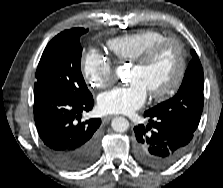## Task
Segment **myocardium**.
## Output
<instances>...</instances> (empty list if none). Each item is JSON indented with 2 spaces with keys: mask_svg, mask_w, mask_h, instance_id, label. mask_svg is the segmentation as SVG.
<instances>
[{
  "mask_svg": "<svg viewBox=\"0 0 223 188\" xmlns=\"http://www.w3.org/2000/svg\"><path fill=\"white\" fill-rule=\"evenodd\" d=\"M174 46L178 52V68L173 80L167 85V87L150 91L149 95L153 99H162L173 95L178 88L181 86L187 72V59H186V50L183 43L172 37L163 39L162 41L150 46L144 53L139 57L132 60V65L136 67H146L150 64L156 56L166 47Z\"/></svg>",
  "mask_w": 223,
  "mask_h": 188,
  "instance_id": "myocardium-1",
  "label": "myocardium"
}]
</instances>
